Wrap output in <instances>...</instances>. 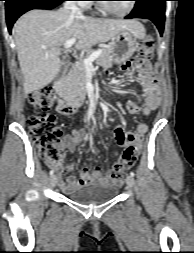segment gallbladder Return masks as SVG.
<instances>
[{
  "label": "gallbladder",
  "mask_w": 194,
  "mask_h": 253,
  "mask_svg": "<svg viewBox=\"0 0 194 253\" xmlns=\"http://www.w3.org/2000/svg\"><path fill=\"white\" fill-rule=\"evenodd\" d=\"M63 73H64V65L61 64V68H60V70H59V72H58V74L56 76V79L61 78L62 75H63Z\"/></svg>",
  "instance_id": "1"
}]
</instances>
